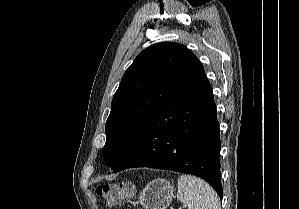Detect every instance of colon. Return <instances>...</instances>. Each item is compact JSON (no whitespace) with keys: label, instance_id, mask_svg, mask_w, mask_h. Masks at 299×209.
<instances>
[{"label":"colon","instance_id":"5ec220e1","mask_svg":"<svg viewBox=\"0 0 299 209\" xmlns=\"http://www.w3.org/2000/svg\"><path fill=\"white\" fill-rule=\"evenodd\" d=\"M96 194L109 204H118L131 198L134 186L130 183H105L96 188Z\"/></svg>","mask_w":299,"mask_h":209}]
</instances>
